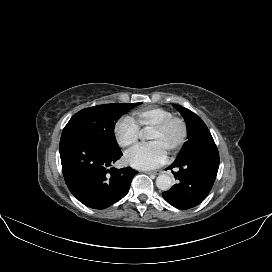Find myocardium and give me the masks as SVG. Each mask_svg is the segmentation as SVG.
<instances>
[{"mask_svg":"<svg viewBox=\"0 0 272 272\" xmlns=\"http://www.w3.org/2000/svg\"><path fill=\"white\" fill-rule=\"evenodd\" d=\"M172 125H177L180 129V135L178 139L170 146L168 149V152L171 154H174L178 152L183 145L185 144L187 137H188V126L186 121L178 116H171L169 118L164 119L154 127H152V130L158 132V133H163L168 130L169 127Z\"/></svg>","mask_w":272,"mask_h":272,"instance_id":"f54148a6","label":"myocardium"}]
</instances>
